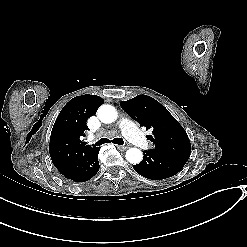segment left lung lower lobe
Wrapping results in <instances>:
<instances>
[{"label": "left lung lower lobe", "instance_id": "left-lung-lower-lobe-1", "mask_svg": "<svg viewBox=\"0 0 247 247\" xmlns=\"http://www.w3.org/2000/svg\"><path fill=\"white\" fill-rule=\"evenodd\" d=\"M141 163L133 165L141 176L151 180H162L177 174L185 164L154 150L143 151Z\"/></svg>", "mask_w": 247, "mask_h": 247}]
</instances>
